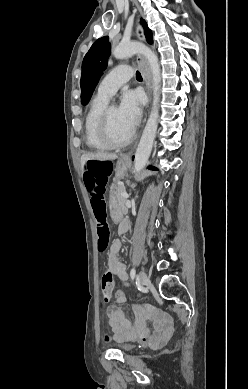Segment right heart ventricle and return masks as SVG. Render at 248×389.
<instances>
[{
  "label": "right heart ventricle",
  "instance_id": "obj_1",
  "mask_svg": "<svg viewBox=\"0 0 248 389\" xmlns=\"http://www.w3.org/2000/svg\"><path fill=\"white\" fill-rule=\"evenodd\" d=\"M107 102L108 98L97 94L90 102L84 123L86 144L90 148L100 151L111 148L99 136L100 120Z\"/></svg>",
  "mask_w": 248,
  "mask_h": 389
}]
</instances>
